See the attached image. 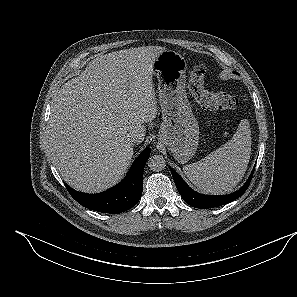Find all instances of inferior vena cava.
I'll use <instances>...</instances> for the list:
<instances>
[{
	"instance_id": "1",
	"label": "inferior vena cava",
	"mask_w": 297,
	"mask_h": 297,
	"mask_svg": "<svg viewBox=\"0 0 297 297\" xmlns=\"http://www.w3.org/2000/svg\"><path fill=\"white\" fill-rule=\"evenodd\" d=\"M143 138L139 134L132 133L128 136V141L130 144H139L141 143Z\"/></svg>"
}]
</instances>
